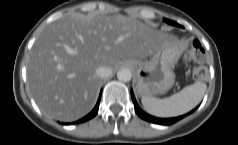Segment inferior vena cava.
<instances>
[{
    "label": "inferior vena cava",
    "mask_w": 238,
    "mask_h": 145,
    "mask_svg": "<svg viewBox=\"0 0 238 145\" xmlns=\"http://www.w3.org/2000/svg\"><path fill=\"white\" fill-rule=\"evenodd\" d=\"M112 74V69L109 67L101 66L96 69V75L100 78L109 77Z\"/></svg>",
    "instance_id": "obj_1"
}]
</instances>
